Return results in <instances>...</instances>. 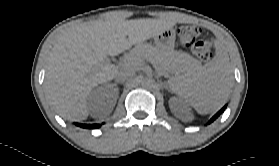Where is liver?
Masks as SVG:
<instances>
[{"instance_id":"liver-1","label":"liver","mask_w":279,"mask_h":166,"mask_svg":"<svg viewBox=\"0 0 279 166\" xmlns=\"http://www.w3.org/2000/svg\"><path fill=\"white\" fill-rule=\"evenodd\" d=\"M175 14L160 19L125 20L117 14L68 29L50 53L46 94L65 119L85 120L86 98L98 84L115 77L118 67L107 56L118 55L176 24Z\"/></svg>"}]
</instances>
